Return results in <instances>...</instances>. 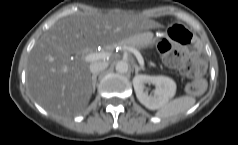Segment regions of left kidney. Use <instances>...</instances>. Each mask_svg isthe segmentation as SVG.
Instances as JSON below:
<instances>
[{
  "label": "left kidney",
  "mask_w": 238,
  "mask_h": 145,
  "mask_svg": "<svg viewBox=\"0 0 238 145\" xmlns=\"http://www.w3.org/2000/svg\"><path fill=\"white\" fill-rule=\"evenodd\" d=\"M146 83L155 86L152 94L145 90ZM133 86L139 102L150 110L161 108L176 93L175 82L166 76L136 75Z\"/></svg>",
  "instance_id": "obj_1"
}]
</instances>
